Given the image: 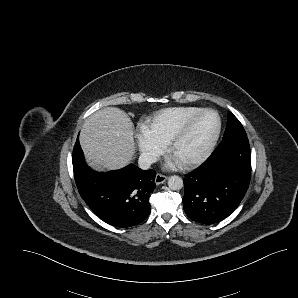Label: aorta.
<instances>
[{
    "mask_svg": "<svg viewBox=\"0 0 298 298\" xmlns=\"http://www.w3.org/2000/svg\"><path fill=\"white\" fill-rule=\"evenodd\" d=\"M167 185L171 190H180L183 185V179L178 175H170L167 179Z\"/></svg>",
    "mask_w": 298,
    "mask_h": 298,
    "instance_id": "1",
    "label": "aorta"
}]
</instances>
